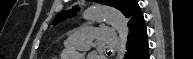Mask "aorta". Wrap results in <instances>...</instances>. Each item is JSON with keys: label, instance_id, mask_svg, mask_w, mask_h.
I'll return each instance as SVG.
<instances>
[{"label": "aorta", "instance_id": "aorta-1", "mask_svg": "<svg viewBox=\"0 0 193 59\" xmlns=\"http://www.w3.org/2000/svg\"><path fill=\"white\" fill-rule=\"evenodd\" d=\"M83 18L90 21H106L109 23L119 35V51L118 57L124 58L126 54V44L127 38L129 34V29L127 25V19L124 15L116 9L100 6V5H92L89 6L83 12ZM65 59H84V56L78 52H65Z\"/></svg>", "mask_w": 193, "mask_h": 59}]
</instances>
